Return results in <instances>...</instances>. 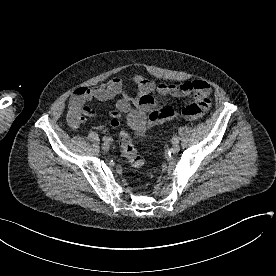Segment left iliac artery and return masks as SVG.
Listing matches in <instances>:
<instances>
[{"label": "left iliac artery", "instance_id": "1", "mask_svg": "<svg viewBox=\"0 0 276 276\" xmlns=\"http://www.w3.org/2000/svg\"><path fill=\"white\" fill-rule=\"evenodd\" d=\"M179 140L180 138L177 135L173 136V138L171 139L172 143H179Z\"/></svg>", "mask_w": 276, "mask_h": 276}]
</instances>
